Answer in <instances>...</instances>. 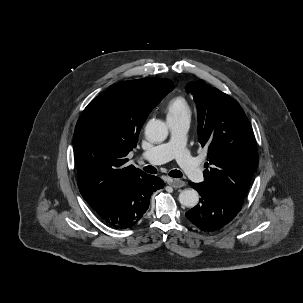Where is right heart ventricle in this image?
<instances>
[{
    "label": "right heart ventricle",
    "mask_w": 303,
    "mask_h": 303,
    "mask_svg": "<svg viewBox=\"0 0 303 303\" xmlns=\"http://www.w3.org/2000/svg\"><path fill=\"white\" fill-rule=\"evenodd\" d=\"M167 120H178L189 117L191 115V108L188 101L183 96H175L166 104Z\"/></svg>",
    "instance_id": "1"
}]
</instances>
